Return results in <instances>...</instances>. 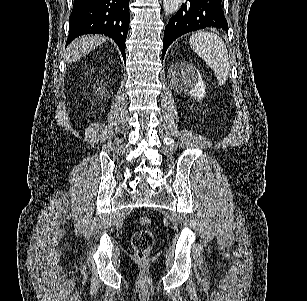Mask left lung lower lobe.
<instances>
[{
    "label": "left lung lower lobe",
    "instance_id": "0a47b994",
    "mask_svg": "<svg viewBox=\"0 0 307 301\" xmlns=\"http://www.w3.org/2000/svg\"><path fill=\"white\" fill-rule=\"evenodd\" d=\"M222 0H186L178 12L170 18L164 32L162 60L170 44L181 35L205 27L222 28L228 32V24L221 8Z\"/></svg>",
    "mask_w": 307,
    "mask_h": 301
}]
</instances>
